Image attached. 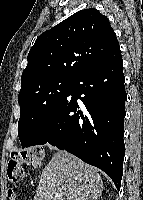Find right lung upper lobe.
<instances>
[{
  "instance_id": "obj_1",
  "label": "right lung upper lobe",
  "mask_w": 143,
  "mask_h": 200,
  "mask_svg": "<svg viewBox=\"0 0 143 200\" xmlns=\"http://www.w3.org/2000/svg\"><path fill=\"white\" fill-rule=\"evenodd\" d=\"M118 47L106 16L93 8L78 11L36 39L21 76V89L51 78L74 79Z\"/></svg>"
}]
</instances>
